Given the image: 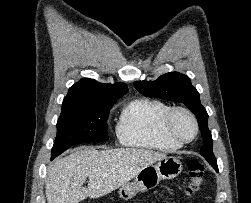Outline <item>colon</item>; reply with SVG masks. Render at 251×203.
I'll use <instances>...</instances> for the list:
<instances>
[{"label":"colon","instance_id":"5ec220e1","mask_svg":"<svg viewBox=\"0 0 251 203\" xmlns=\"http://www.w3.org/2000/svg\"><path fill=\"white\" fill-rule=\"evenodd\" d=\"M189 181L185 188L188 195H194L197 193L203 184L205 167L198 160H190L187 165Z\"/></svg>","mask_w":251,"mask_h":203}]
</instances>
